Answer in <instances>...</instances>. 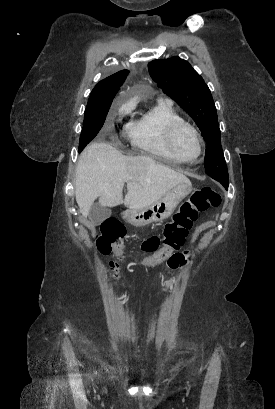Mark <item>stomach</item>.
Returning a JSON list of instances; mask_svg holds the SVG:
<instances>
[{
    "label": "stomach",
    "instance_id": "0dacf381",
    "mask_svg": "<svg viewBox=\"0 0 275 409\" xmlns=\"http://www.w3.org/2000/svg\"><path fill=\"white\" fill-rule=\"evenodd\" d=\"M191 190L190 180L189 182H179L166 194H163L161 198L152 202L149 207L127 211L126 221L134 225V227H145V225H151V223H160V221H164V219H168L172 215L182 198H185Z\"/></svg>",
    "mask_w": 275,
    "mask_h": 409
}]
</instances>
